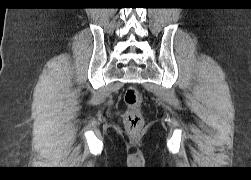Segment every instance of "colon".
<instances>
[{"label": "colon", "mask_w": 251, "mask_h": 180, "mask_svg": "<svg viewBox=\"0 0 251 180\" xmlns=\"http://www.w3.org/2000/svg\"><path fill=\"white\" fill-rule=\"evenodd\" d=\"M126 111L124 113V124L130 133H137L143 127L144 121L141 113L143 96L135 87H129L124 93Z\"/></svg>", "instance_id": "5ec220e1"}]
</instances>
